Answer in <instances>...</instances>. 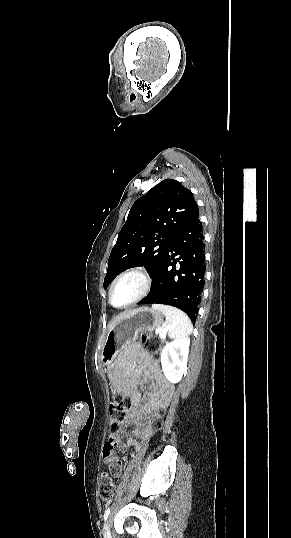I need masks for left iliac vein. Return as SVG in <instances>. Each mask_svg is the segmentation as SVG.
<instances>
[{"instance_id":"1","label":"left iliac vein","mask_w":291,"mask_h":538,"mask_svg":"<svg viewBox=\"0 0 291 538\" xmlns=\"http://www.w3.org/2000/svg\"><path fill=\"white\" fill-rule=\"evenodd\" d=\"M110 535L111 534H110L109 526H108V523H106L104 526V536L105 538H111Z\"/></svg>"}]
</instances>
